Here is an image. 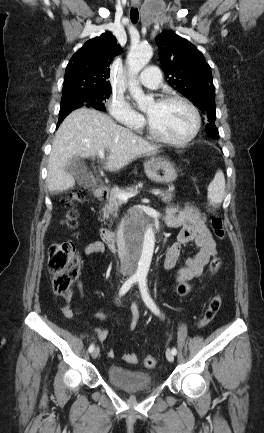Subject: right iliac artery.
Returning <instances> with one entry per match:
<instances>
[{
  "label": "right iliac artery",
  "mask_w": 264,
  "mask_h": 433,
  "mask_svg": "<svg viewBox=\"0 0 264 433\" xmlns=\"http://www.w3.org/2000/svg\"><path fill=\"white\" fill-rule=\"evenodd\" d=\"M139 280L138 277L129 278L121 287L119 291V296L124 295L130 288ZM94 350V344H91L88 348V351L91 353Z\"/></svg>",
  "instance_id": "82829eb1"
}]
</instances>
